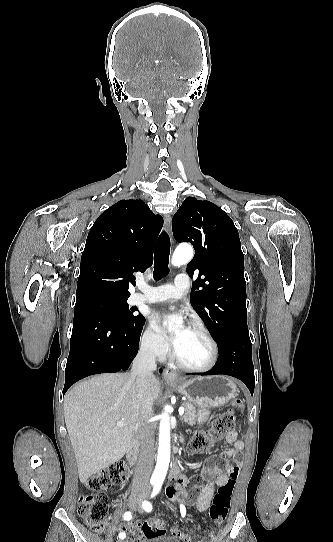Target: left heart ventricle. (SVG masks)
<instances>
[{"instance_id":"left-heart-ventricle-1","label":"left heart ventricle","mask_w":333,"mask_h":542,"mask_svg":"<svg viewBox=\"0 0 333 542\" xmlns=\"http://www.w3.org/2000/svg\"><path fill=\"white\" fill-rule=\"evenodd\" d=\"M176 344L172 351L182 362L194 366H205L211 359V346L198 332L185 328L176 333Z\"/></svg>"}]
</instances>
